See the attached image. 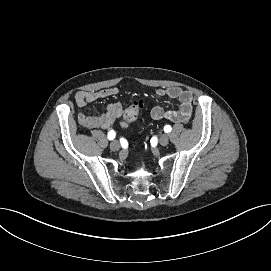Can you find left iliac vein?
<instances>
[{"instance_id":"4c4485c4","label":"left iliac vein","mask_w":271,"mask_h":271,"mask_svg":"<svg viewBox=\"0 0 271 271\" xmlns=\"http://www.w3.org/2000/svg\"><path fill=\"white\" fill-rule=\"evenodd\" d=\"M159 142H160L161 145L166 146L168 144V142H169L168 136L165 135V134L161 135L160 138H159Z\"/></svg>"}]
</instances>
